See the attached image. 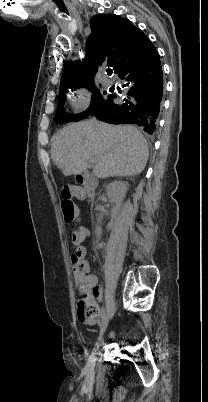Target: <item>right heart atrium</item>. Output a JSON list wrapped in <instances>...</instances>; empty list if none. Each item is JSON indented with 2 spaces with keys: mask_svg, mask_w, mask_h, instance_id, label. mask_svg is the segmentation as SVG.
I'll return each mask as SVG.
<instances>
[{
  "mask_svg": "<svg viewBox=\"0 0 208 402\" xmlns=\"http://www.w3.org/2000/svg\"><path fill=\"white\" fill-rule=\"evenodd\" d=\"M93 97V90L88 85L76 87L69 95L70 103L75 111L86 108Z\"/></svg>",
  "mask_w": 208,
  "mask_h": 402,
  "instance_id": "right-heart-atrium-1",
  "label": "right heart atrium"
}]
</instances>
